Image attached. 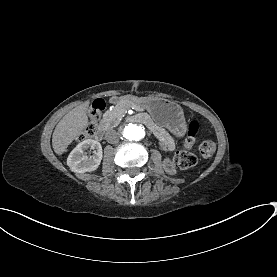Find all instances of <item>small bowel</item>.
Returning a JSON list of instances; mask_svg holds the SVG:
<instances>
[{"mask_svg":"<svg viewBox=\"0 0 277 277\" xmlns=\"http://www.w3.org/2000/svg\"><path fill=\"white\" fill-rule=\"evenodd\" d=\"M155 136L157 137L161 148L166 151L170 152L173 151L175 148V140L174 138L163 128L161 127H154L152 126ZM186 128L184 125H180L176 128L174 135L177 137H181L185 134Z\"/></svg>","mask_w":277,"mask_h":277,"instance_id":"obj_1","label":"small bowel"}]
</instances>
